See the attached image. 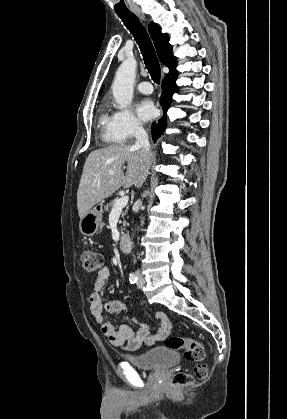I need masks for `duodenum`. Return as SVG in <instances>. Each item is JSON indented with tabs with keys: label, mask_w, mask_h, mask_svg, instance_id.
Listing matches in <instances>:
<instances>
[{
	"label": "duodenum",
	"mask_w": 287,
	"mask_h": 419,
	"mask_svg": "<svg viewBox=\"0 0 287 419\" xmlns=\"http://www.w3.org/2000/svg\"><path fill=\"white\" fill-rule=\"evenodd\" d=\"M119 246L122 252L130 253L132 249V241L126 234L121 235L119 238Z\"/></svg>",
	"instance_id": "410a0bca"
}]
</instances>
